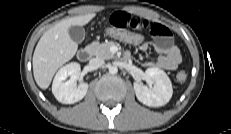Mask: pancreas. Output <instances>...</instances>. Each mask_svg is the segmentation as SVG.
Returning <instances> with one entry per match:
<instances>
[{"label":"pancreas","mask_w":231,"mask_h":134,"mask_svg":"<svg viewBox=\"0 0 231 134\" xmlns=\"http://www.w3.org/2000/svg\"><path fill=\"white\" fill-rule=\"evenodd\" d=\"M113 41H109L106 43H99L98 41L92 42L88 49L90 50L92 55L102 59H112L115 58V55L110 51V47L114 45Z\"/></svg>","instance_id":"obj_1"}]
</instances>
